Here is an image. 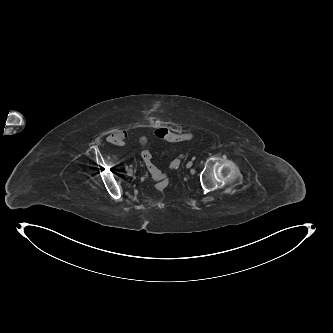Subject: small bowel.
<instances>
[{
  "label": "small bowel",
  "instance_id": "1",
  "mask_svg": "<svg viewBox=\"0 0 333 333\" xmlns=\"http://www.w3.org/2000/svg\"><path fill=\"white\" fill-rule=\"evenodd\" d=\"M155 132L156 130L141 135L140 140L144 147H146L151 140L160 139L156 136ZM126 138L127 132L125 129H115L107 136V141L115 145H122Z\"/></svg>",
  "mask_w": 333,
  "mask_h": 333
}]
</instances>
